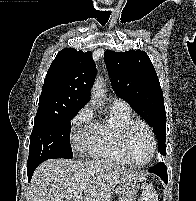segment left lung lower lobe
<instances>
[{
    "mask_svg": "<svg viewBox=\"0 0 196 201\" xmlns=\"http://www.w3.org/2000/svg\"><path fill=\"white\" fill-rule=\"evenodd\" d=\"M149 172L158 175L167 184V168L163 162L154 165L152 168L149 169Z\"/></svg>",
    "mask_w": 196,
    "mask_h": 201,
    "instance_id": "1",
    "label": "left lung lower lobe"
}]
</instances>
